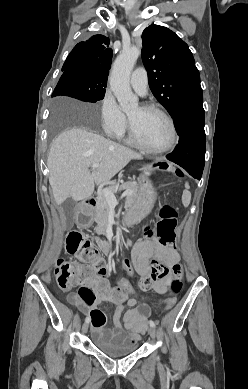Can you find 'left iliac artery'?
<instances>
[{"label":"left iliac artery","instance_id":"44dca946","mask_svg":"<svg viewBox=\"0 0 248 389\" xmlns=\"http://www.w3.org/2000/svg\"><path fill=\"white\" fill-rule=\"evenodd\" d=\"M149 324H150V326H151V327H153V328H155V327H156V324H155V322H154V321H152V320H150V321H149Z\"/></svg>","mask_w":248,"mask_h":389}]
</instances>
